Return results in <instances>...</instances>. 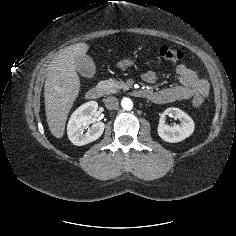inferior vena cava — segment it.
I'll return each instance as SVG.
<instances>
[{
    "mask_svg": "<svg viewBox=\"0 0 236 236\" xmlns=\"http://www.w3.org/2000/svg\"><path fill=\"white\" fill-rule=\"evenodd\" d=\"M105 107L114 110L119 106V100L114 96H109L104 100Z\"/></svg>",
    "mask_w": 236,
    "mask_h": 236,
    "instance_id": "obj_1",
    "label": "inferior vena cava"
}]
</instances>
